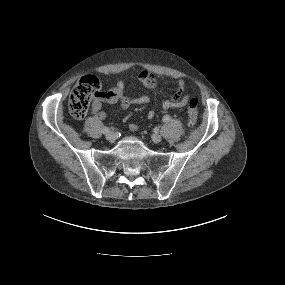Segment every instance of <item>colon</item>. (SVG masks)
I'll return each instance as SVG.
<instances>
[{"label":"colon","instance_id":"1","mask_svg":"<svg viewBox=\"0 0 285 285\" xmlns=\"http://www.w3.org/2000/svg\"><path fill=\"white\" fill-rule=\"evenodd\" d=\"M101 94L99 80L93 75L82 77L71 91L68 109L75 119H83L89 113L92 102ZM198 120V100L192 98L187 109L188 126H193Z\"/></svg>","mask_w":285,"mask_h":285}]
</instances>
